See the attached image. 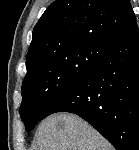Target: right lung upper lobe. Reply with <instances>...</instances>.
<instances>
[{"label": "right lung upper lobe", "instance_id": "right-lung-upper-lobe-1", "mask_svg": "<svg viewBox=\"0 0 139 150\" xmlns=\"http://www.w3.org/2000/svg\"><path fill=\"white\" fill-rule=\"evenodd\" d=\"M135 21L129 0H56L34 27L27 73L64 51L109 46Z\"/></svg>", "mask_w": 139, "mask_h": 150}]
</instances>
